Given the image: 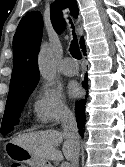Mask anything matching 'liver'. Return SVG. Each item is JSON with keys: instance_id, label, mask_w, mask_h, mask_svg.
Here are the masks:
<instances>
[{"instance_id": "6515ba94", "label": "liver", "mask_w": 125, "mask_h": 167, "mask_svg": "<svg viewBox=\"0 0 125 167\" xmlns=\"http://www.w3.org/2000/svg\"><path fill=\"white\" fill-rule=\"evenodd\" d=\"M34 156L44 160L61 161L64 156L67 160L72 156V143L70 139L57 130H46L19 134L11 140ZM63 142V154L57 146Z\"/></svg>"}]
</instances>
